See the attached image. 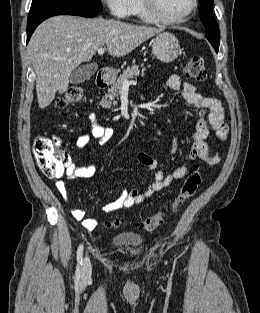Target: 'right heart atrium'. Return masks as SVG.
I'll list each match as a JSON object with an SVG mask.
<instances>
[{"instance_id":"1","label":"right heart atrium","mask_w":260,"mask_h":313,"mask_svg":"<svg viewBox=\"0 0 260 313\" xmlns=\"http://www.w3.org/2000/svg\"><path fill=\"white\" fill-rule=\"evenodd\" d=\"M112 16L125 19L131 15L133 0H102Z\"/></svg>"}]
</instances>
